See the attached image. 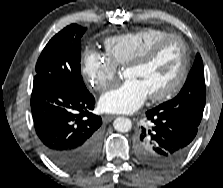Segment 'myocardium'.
Instances as JSON below:
<instances>
[{
    "label": "myocardium",
    "instance_id": "1",
    "mask_svg": "<svg viewBox=\"0 0 223 188\" xmlns=\"http://www.w3.org/2000/svg\"><path fill=\"white\" fill-rule=\"evenodd\" d=\"M178 41L182 48V65L178 76L174 82L165 90L150 94L149 99L152 101H164L176 95L184 85L190 69V52L186 41L177 34H167L160 39L149 44L144 50L139 52L126 66L125 69L135 68L148 63L163 45L169 41Z\"/></svg>",
    "mask_w": 223,
    "mask_h": 188
}]
</instances>
